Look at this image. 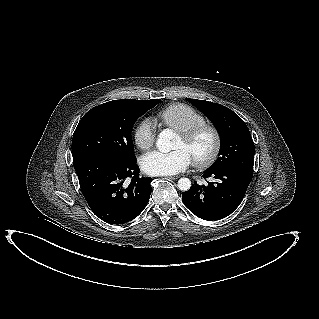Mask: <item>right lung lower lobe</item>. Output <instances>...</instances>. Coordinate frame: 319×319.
<instances>
[{
  "label": "right lung lower lobe",
  "instance_id": "98d812e1",
  "mask_svg": "<svg viewBox=\"0 0 319 319\" xmlns=\"http://www.w3.org/2000/svg\"><path fill=\"white\" fill-rule=\"evenodd\" d=\"M73 165L85 200L106 223H127L146 207L152 179L139 177L135 158L121 161L111 155H93Z\"/></svg>",
  "mask_w": 319,
  "mask_h": 319
}]
</instances>
